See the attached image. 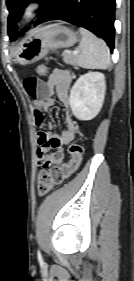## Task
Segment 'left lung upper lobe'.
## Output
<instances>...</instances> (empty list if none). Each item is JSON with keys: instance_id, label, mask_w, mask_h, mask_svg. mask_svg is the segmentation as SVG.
<instances>
[{"instance_id": "1", "label": "left lung upper lobe", "mask_w": 134, "mask_h": 281, "mask_svg": "<svg viewBox=\"0 0 134 281\" xmlns=\"http://www.w3.org/2000/svg\"><path fill=\"white\" fill-rule=\"evenodd\" d=\"M32 1H40L41 9H43L49 0H7L6 4L10 12L8 17V34L11 40H14L17 37L16 22L19 19L22 8L26 7L27 4Z\"/></svg>"}]
</instances>
